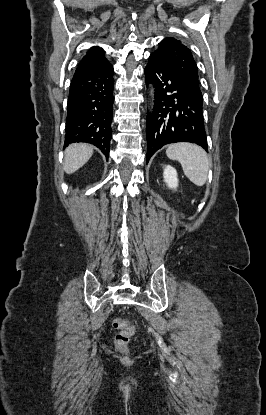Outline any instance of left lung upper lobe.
I'll return each mask as SVG.
<instances>
[{
	"instance_id": "obj_1",
	"label": "left lung upper lobe",
	"mask_w": 266,
	"mask_h": 415,
	"mask_svg": "<svg viewBox=\"0 0 266 415\" xmlns=\"http://www.w3.org/2000/svg\"><path fill=\"white\" fill-rule=\"evenodd\" d=\"M154 54L182 80L197 98L203 101L196 62L191 51L181 41L167 37L160 42Z\"/></svg>"
}]
</instances>
